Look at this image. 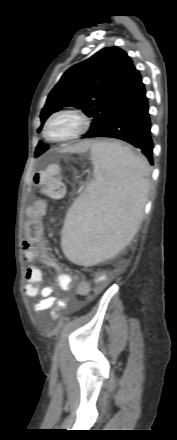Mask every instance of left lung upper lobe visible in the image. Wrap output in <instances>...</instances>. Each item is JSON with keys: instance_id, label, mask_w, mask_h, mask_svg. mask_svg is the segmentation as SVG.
Returning <instances> with one entry per match:
<instances>
[{"instance_id": "obj_1", "label": "left lung upper lobe", "mask_w": 177, "mask_h": 440, "mask_svg": "<svg viewBox=\"0 0 177 440\" xmlns=\"http://www.w3.org/2000/svg\"><path fill=\"white\" fill-rule=\"evenodd\" d=\"M140 80L141 75L124 50L114 46L103 48L63 74L48 95L40 115L41 122L43 124L59 108L75 106L93 117L87 133L90 134L107 122ZM41 129L42 126L38 132ZM46 150L48 146L40 141L35 157Z\"/></svg>"}]
</instances>
